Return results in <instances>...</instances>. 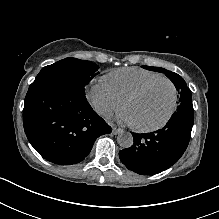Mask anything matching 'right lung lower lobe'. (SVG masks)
<instances>
[{
    "instance_id": "98d812e1",
    "label": "right lung lower lobe",
    "mask_w": 219,
    "mask_h": 219,
    "mask_svg": "<svg viewBox=\"0 0 219 219\" xmlns=\"http://www.w3.org/2000/svg\"><path fill=\"white\" fill-rule=\"evenodd\" d=\"M23 125L33 148L46 160L71 165L84 160L94 141L111 127L74 89L36 84L27 92Z\"/></svg>"
}]
</instances>
